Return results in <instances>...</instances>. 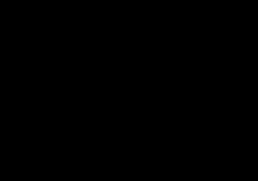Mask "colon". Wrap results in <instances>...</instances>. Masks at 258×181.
I'll return each mask as SVG.
<instances>
[{
  "instance_id": "colon-1",
  "label": "colon",
  "mask_w": 258,
  "mask_h": 181,
  "mask_svg": "<svg viewBox=\"0 0 258 181\" xmlns=\"http://www.w3.org/2000/svg\"><path fill=\"white\" fill-rule=\"evenodd\" d=\"M230 105H231V99L229 97H226L224 107L229 108Z\"/></svg>"
}]
</instances>
